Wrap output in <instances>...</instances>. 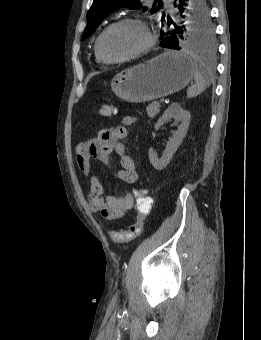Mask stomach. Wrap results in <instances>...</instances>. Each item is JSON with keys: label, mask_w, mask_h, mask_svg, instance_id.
Returning <instances> with one entry per match:
<instances>
[{"label": "stomach", "mask_w": 261, "mask_h": 340, "mask_svg": "<svg viewBox=\"0 0 261 340\" xmlns=\"http://www.w3.org/2000/svg\"><path fill=\"white\" fill-rule=\"evenodd\" d=\"M193 76L194 62L189 57L166 51L116 74L111 89L123 101L144 103L182 90Z\"/></svg>", "instance_id": "0dacf381"}]
</instances>
